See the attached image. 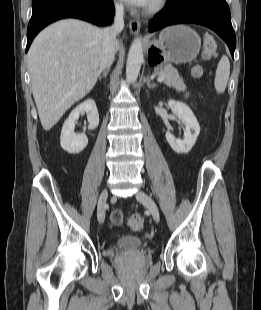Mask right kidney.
I'll return each instance as SVG.
<instances>
[{
	"label": "right kidney",
	"instance_id": "1",
	"mask_svg": "<svg viewBox=\"0 0 261 310\" xmlns=\"http://www.w3.org/2000/svg\"><path fill=\"white\" fill-rule=\"evenodd\" d=\"M86 112L88 118V129L94 130L99 124V114L95 101L88 99L79 104L69 115L63 124L60 144L61 147L71 154L81 152L88 144V138L85 133L76 134L74 132L75 122L80 114Z\"/></svg>",
	"mask_w": 261,
	"mask_h": 310
}]
</instances>
